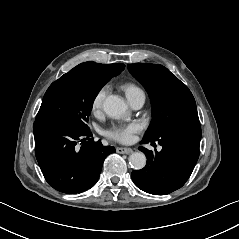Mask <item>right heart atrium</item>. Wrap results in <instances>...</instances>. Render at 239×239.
I'll return each instance as SVG.
<instances>
[{"label": "right heart atrium", "mask_w": 239, "mask_h": 239, "mask_svg": "<svg viewBox=\"0 0 239 239\" xmlns=\"http://www.w3.org/2000/svg\"><path fill=\"white\" fill-rule=\"evenodd\" d=\"M107 90H108L107 86H102L95 92L91 101V110L93 112L102 108Z\"/></svg>", "instance_id": "1"}]
</instances>
